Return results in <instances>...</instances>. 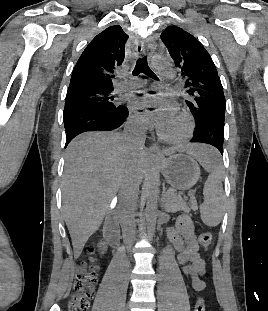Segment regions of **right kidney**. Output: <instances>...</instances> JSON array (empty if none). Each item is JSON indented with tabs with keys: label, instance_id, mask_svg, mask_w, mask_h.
Masks as SVG:
<instances>
[{
	"label": "right kidney",
	"instance_id": "obj_1",
	"mask_svg": "<svg viewBox=\"0 0 268 311\" xmlns=\"http://www.w3.org/2000/svg\"><path fill=\"white\" fill-rule=\"evenodd\" d=\"M99 248L104 252L106 250V246L103 243H100Z\"/></svg>",
	"mask_w": 268,
	"mask_h": 311
}]
</instances>
